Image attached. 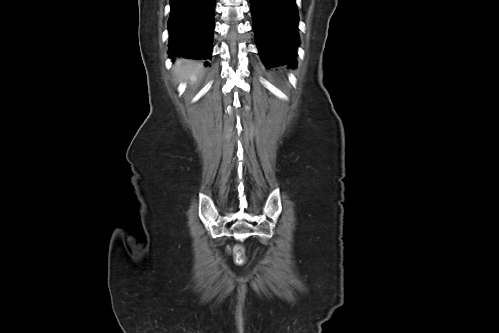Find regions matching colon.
<instances>
[{
  "mask_svg": "<svg viewBox=\"0 0 499 333\" xmlns=\"http://www.w3.org/2000/svg\"><path fill=\"white\" fill-rule=\"evenodd\" d=\"M235 260L238 264H244L245 263V255H244V250L241 246H236L233 250Z\"/></svg>",
  "mask_w": 499,
  "mask_h": 333,
  "instance_id": "obj_1",
  "label": "colon"
}]
</instances>
